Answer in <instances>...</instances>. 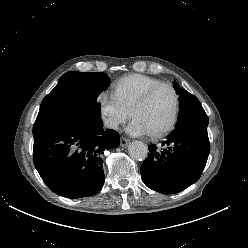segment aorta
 Listing matches in <instances>:
<instances>
[{"label":"aorta","instance_id":"aorta-1","mask_svg":"<svg viewBox=\"0 0 248 248\" xmlns=\"http://www.w3.org/2000/svg\"><path fill=\"white\" fill-rule=\"evenodd\" d=\"M128 152L133 159L142 161L148 155V148L141 141H133L128 147Z\"/></svg>","mask_w":248,"mask_h":248}]
</instances>
